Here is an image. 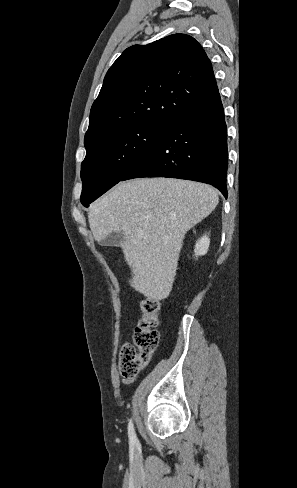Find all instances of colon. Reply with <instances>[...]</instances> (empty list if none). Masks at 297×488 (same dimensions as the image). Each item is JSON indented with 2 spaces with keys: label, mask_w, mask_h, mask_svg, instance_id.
I'll return each mask as SVG.
<instances>
[{
  "label": "colon",
  "mask_w": 297,
  "mask_h": 488,
  "mask_svg": "<svg viewBox=\"0 0 297 488\" xmlns=\"http://www.w3.org/2000/svg\"><path fill=\"white\" fill-rule=\"evenodd\" d=\"M141 312L134 332L135 346L124 344L119 354V370L125 378L135 377L151 361L159 343L158 325L160 303L147 297L141 302Z\"/></svg>",
  "instance_id": "obj_1"
}]
</instances>
